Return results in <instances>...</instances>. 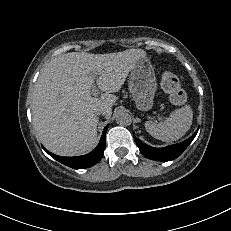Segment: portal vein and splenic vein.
<instances>
[{
    "instance_id": "portal-vein-and-splenic-vein-1",
    "label": "portal vein and splenic vein",
    "mask_w": 231,
    "mask_h": 231,
    "mask_svg": "<svg viewBox=\"0 0 231 231\" xmlns=\"http://www.w3.org/2000/svg\"><path fill=\"white\" fill-rule=\"evenodd\" d=\"M96 76H97V73L94 74V77H96ZM92 95L95 96V97L99 95V90L96 87H94L92 89Z\"/></svg>"
}]
</instances>
